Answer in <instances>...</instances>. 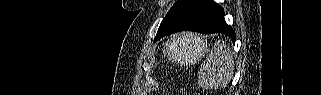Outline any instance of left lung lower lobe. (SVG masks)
I'll return each mask as SVG.
<instances>
[{
    "label": "left lung lower lobe",
    "instance_id": "obj_1",
    "mask_svg": "<svg viewBox=\"0 0 321 95\" xmlns=\"http://www.w3.org/2000/svg\"><path fill=\"white\" fill-rule=\"evenodd\" d=\"M179 31L224 33L236 40L234 30L225 22L223 8L214 0H178L161 22L154 42Z\"/></svg>",
    "mask_w": 321,
    "mask_h": 95
}]
</instances>
